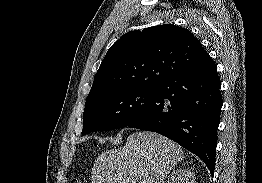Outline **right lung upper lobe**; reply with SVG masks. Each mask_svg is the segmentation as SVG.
<instances>
[{
  "mask_svg": "<svg viewBox=\"0 0 262 183\" xmlns=\"http://www.w3.org/2000/svg\"><path fill=\"white\" fill-rule=\"evenodd\" d=\"M210 61L209 54L188 29L165 24L131 31L109 48L87 101L130 88L156 89Z\"/></svg>",
  "mask_w": 262,
  "mask_h": 183,
  "instance_id": "right-lung-upper-lobe-1",
  "label": "right lung upper lobe"
}]
</instances>
